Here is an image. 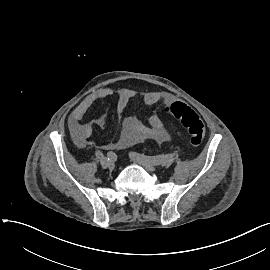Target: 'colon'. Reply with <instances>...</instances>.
Here are the masks:
<instances>
[{"label": "colon", "instance_id": "1", "mask_svg": "<svg viewBox=\"0 0 270 270\" xmlns=\"http://www.w3.org/2000/svg\"><path fill=\"white\" fill-rule=\"evenodd\" d=\"M167 117L176 119L185 128L189 143L192 147H199L204 139L205 128L198 114L183 102H173L163 109Z\"/></svg>", "mask_w": 270, "mask_h": 270}]
</instances>
